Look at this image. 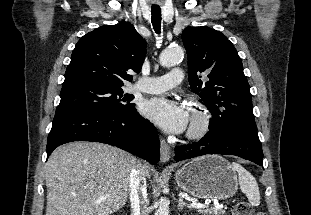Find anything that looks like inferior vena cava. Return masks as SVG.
Listing matches in <instances>:
<instances>
[{"label": "inferior vena cava", "mask_w": 311, "mask_h": 215, "mask_svg": "<svg viewBox=\"0 0 311 215\" xmlns=\"http://www.w3.org/2000/svg\"><path fill=\"white\" fill-rule=\"evenodd\" d=\"M131 215H148L146 209V180L139 166H134L130 173ZM142 213V214H141Z\"/></svg>", "instance_id": "obj_1"}]
</instances>
